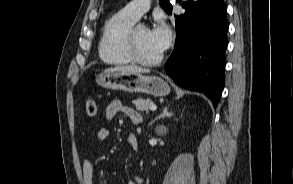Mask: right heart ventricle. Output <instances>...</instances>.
Wrapping results in <instances>:
<instances>
[{
  "label": "right heart ventricle",
  "instance_id": "1",
  "mask_svg": "<svg viewBox=\"0 0 293 184\" xmlns=\"http://www.w3.org/2000/svg\"><path fill=\"white\" fill-rule=\"evenodd\" d=\"M135 22L136 19L124 11L114 14L106 21L98 46L99 56L104 63L125 65L133 62L127 53L126 38Z\"/></svg>",
  "mask_w": 293,
  "mask_h": 184
}]
</instances>
